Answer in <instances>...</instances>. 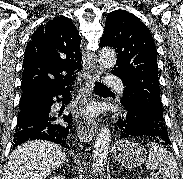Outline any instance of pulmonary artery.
Wrapping results in <instances>:
<instances>
[{
    "label": "pulmonary artery",
    "instance_id": "1",
    "mask_svg": "<svg viewBox=\"0 0 183 179\" xmlns=\"http://www.w3.org/2000/svg\"><path fill=\"white\" fill-rule=\"evenodd\" d=\"M105 83L108 87L117 89L118 92L121 94L124 92V85L122 81L116 76L113 75L107 76L105 79Z\"/></svg>",
    "mask_w": 183,
    "mask_h": 179
}]
</instances>
